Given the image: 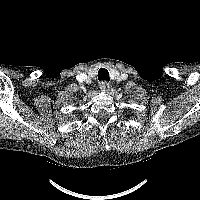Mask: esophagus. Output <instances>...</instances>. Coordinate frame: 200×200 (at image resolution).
Segmentation results:
<instances>
[{"mask_svg":"<svg viewBox=\"0 0 200 200\" xmlns=\"http://www.w3.org/2000/svg\"><path fill=\"white\" fill-rule=\"evenodd\" d=\"M99 88L103 92H108L110 90V84L107 81H102L99 85Z\"/></svg>","mask_w":200,"mask_h":200,"instance_id":"1","label":"esophagus"}]
</instances>
